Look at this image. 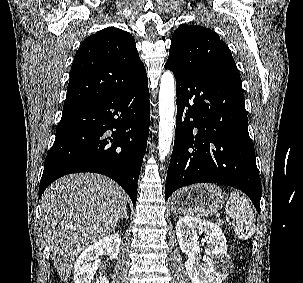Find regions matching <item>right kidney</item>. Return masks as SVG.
Returning <instances> with one entry per match:
<instances>
[{
	"label": "right kidney",
	"mask_w": 303,
	"mask_h": 283,
	"mask_svg": "<svg viewBox=\"0 0 303 283\" xmlns=\"http://www.w3.org/2000/svg\"><path fill=\"white\" fill-rule=\"evenodd\" d=\"M121 244L118 233L107 235L87 247L77 258L74 266V283H93L100 255L106 253L111 260L116 259ZM96 283H108V279L100 275Z\"/></svg>",
	"instance_id": "right-kidney-1"
}]
</instances>
